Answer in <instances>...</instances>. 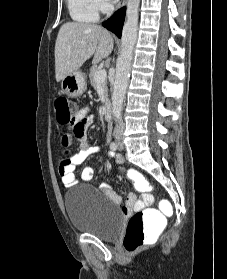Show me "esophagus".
Listing matches in <instances>:
<instances>
[{"label": "esophagus", "mask_w": 227, "mask_h": 279, "mask_svg": "<svg viewBox=\"0 0 227 279\" xmlns=\"http://www.w3.org/2000/svg\"><path fill=\"white\" fill-rule=\"evenodd\" d=\"M126 0H120V2L117 5V8L120 9L121 7H123V5L125 4Z\"/></svg>", "instance_id": "1"}]
</instances>
